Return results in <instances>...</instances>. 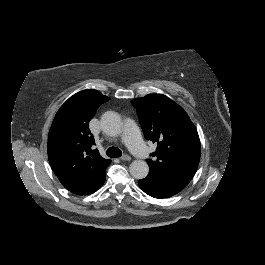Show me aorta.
Instances as JSON below:
<instances>
[{
  "label": "aorta",
  "instance_id": "obj_1",
  "mask_svg": "<svg viewBox=\"0 0 265 265\" xmlns=\"http://www.w3.org/2000/svg\"><path fill=\"white\" fill-rule=\"evenodd\" d=\"M103 131L110 136H115L120 133L121 120L120 116L115 111H106L100 119ZM130 174L134 179L140 180L147 177L149 167L144 161H134L129 168Z\"/></svg>",
  "mask_w": 265,
  "mask_h": 265
}]
</instances>
